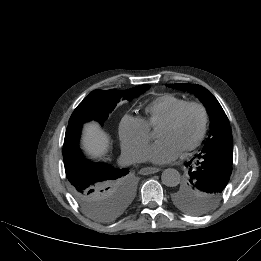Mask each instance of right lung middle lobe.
Masks as SVG:
<instances>
[{
	"label": "right lung middle lobe",
	"instance_id": "dd1d6c3e",
	"mask_svg": "<svg viewBox=\"0 0 261 261\" xmlns=\"http://www.w3.org/2000/svg\"><path fill=\"white\" fill-rule=\"evenodd\" d=\"M149 87L140 85L125 91L94 90L74 110L68 125L92 119L103 125L120 101H131ZM126 174L123 172L95 184H79L69 180L70 190L89 216L99 221H111L126 210L133 198V184Z\"/></svg>",
	"mask_w": 261,
	"mask_h": 261
}]
</instances>
